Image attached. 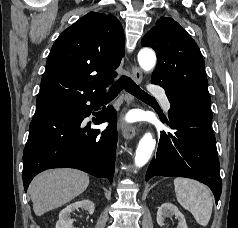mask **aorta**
Returning <instances> with one entry per match:
<instances>
[{
    "label": "aorta",
    "mask_w": 238,
    "mask_h": 228,
    "mask_svg": "<svg viewBox=\"0 0 238 228\" xmlns=\"http://www.w3.org/2000/svg\"><path fill=\"white\" fill-rule=\"evenodd\" d=\"M138 63L144 71H151L156 65L155 52L150 48L141 49L138 53ZM155 144V139L150 132L143 135L136 150L134 160L136 167L141 168L149 161L155 148Z\"/></svg>",
    "instance_id": "obj_1"
}]
</instances>
